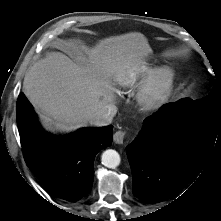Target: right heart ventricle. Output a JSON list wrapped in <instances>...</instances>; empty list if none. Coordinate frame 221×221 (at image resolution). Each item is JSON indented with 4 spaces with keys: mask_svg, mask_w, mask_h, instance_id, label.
<instances>
[{
    "mask_svg": "<svg viewBox=\"0 0 221 221\" xmlns=\"http://www.w3.org/2000/svg\"><path fill=\"white\" fill-rule=\"evenodd\" d=\"M137 77H138L137 72H129L125 75L120 76L117 79V82L122 87H128L131 86L137 80Z\"/></svg>",
    "mask_w": 221,
    "mask_h": 221,
    "instance_id": "obj_1",
    "label": "right heart ventricle"
}]
</instances>
